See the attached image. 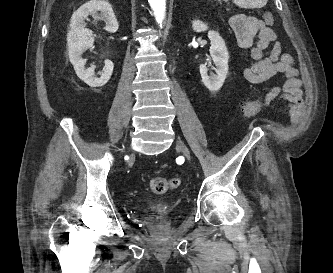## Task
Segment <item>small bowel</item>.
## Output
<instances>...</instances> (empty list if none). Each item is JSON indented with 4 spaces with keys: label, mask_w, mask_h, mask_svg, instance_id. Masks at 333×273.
Masks as SVG:
<instances>
[{
    "label": "small bowel",
    "mask_w": 333,
    "mask_h": 273,
    "mask_svg": "<svg viewBox=\"0 0 333 273\" xmlns=\"http://www.w3.org/2000/svg\"><path fill=\"white\" fill-rule=\"evenodd\" d=\"M230 25L237 45L246 50V56L251 60L241 71L246 81L260 84L279 73L285 77L282 84L267 91L262 106L282 101L294 116L295 110L302 105L300 80L292 56L282 52L276 33L264 20L245 13L234 15ZM270 45L271 50L266 52Z\"/></svg>",
    "instance_id": "small-bowel-1"
}]
</instances>
